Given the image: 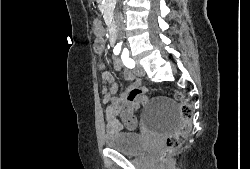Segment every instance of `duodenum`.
<instances>
[{"mask_svg":"<svg viewBox=\"0 0 250 169\" xmlns=\"http://www.w3.org/2000/svg\"><path fill=\"white\" fill-rule=\"evenodd\" d=\"M109 37L112 43H116L117 33L113 25L110 26Z\"/></svg>","mask_w":250,"mask_h":169,"instance_id":"obj_1","label":"duodenum"}]
</instances>
